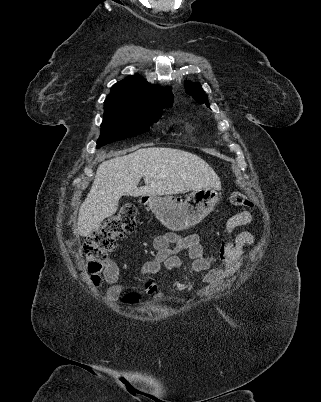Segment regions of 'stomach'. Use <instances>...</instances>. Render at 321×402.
Here are the masks:
<instances>
[{
    "instance_id": "1",
    "label": "stomach",
    "mask_w": 321,
    "mask_h": 402,
    "mask_svg": "<svg viewBox=\"0 0 321 402\" xmlns=\"http://www.w3.org/2000/svg\"><path fill=\"white\" fill-rule=\"evenodd\" d=\"M215 187L194 190L183 201L175 196L148 195L146 204L157 220L172 231H182L201 222L219 201Z\"/></svg>"
}]
</instances>
